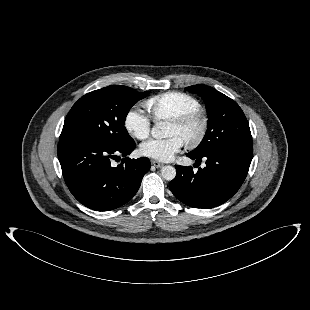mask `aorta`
Instances as JSON below:
<instances>
[{
	"label": "aorta",
	"instance_id": "1",
	"mask_svg": "<svg viewBox=\"0 0 310 310\" xmlns=\"http://www.w3.org/2000/svg\"><path fill=\"white\" fill-rule=\"evenodd\" d=\"M151 135L153 138H156V139L167 137L168 134H167L166 123L162 121L157 122L151 130ZM161 175L165 180L171 181L176 176V169L170 165L164 166L161 169Z\"/></svg>",
	"mask_w": 310,
	"mask_h": 310
}]
</instances>
